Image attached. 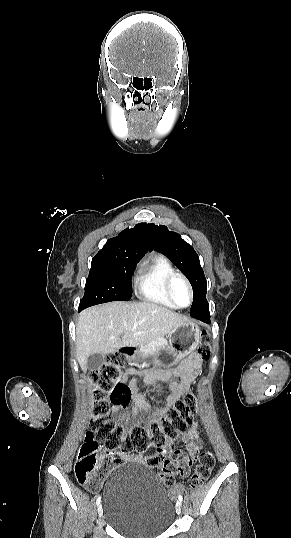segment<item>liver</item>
Instances as JSON below:
<instances>
[{
	"mask_svg": "<svg viewBox=\"0 0 291 538\" xmlns=\"http://www.w3.org/2000/svg\"><path fill=\"white\" fill-rule=\"evenodd\" d=\"M189 321L188 317L150 302L118 301L86 309L76 325L78 362L86 371L92 354L145 345Z\"/></svg>",
	"mask_w": 291,
	"mask_h": 538,
	"instance_id": "1",
	"label": "liver"
}]
</instances>
